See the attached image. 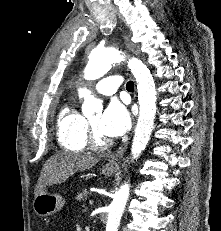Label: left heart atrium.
<instances>
[{
	"label": "left heart atrium",
	"mask_w": 221,
	"mask_h": 231,
	"mask_svg": "<svg viewBox=\"0 0 221 231\" xmlns=\"http://www.w3.org/2000/svg\"><path fill=\"white\" fill-rule=\"evenodd\" d=\"M130 126L127 110L120 103L111 102L99 121V131L110 138H117L126 133Z\"/></svg>",
	"instance_id": "1"
}]
</instances>
